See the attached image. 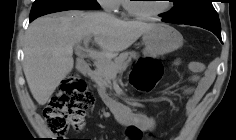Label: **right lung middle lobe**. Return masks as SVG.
<instances>
[{
  "label": "right lung middle lobe",
  "mask_w": 236,
  "mask_h": 140,
  "mask_svg": "<svg viewBox=\"0 0 236 140\" xmlns=\"http://www.w3.org/2000/svg\"><path fill=\"white\" fill-rule=\"evenodd\" d=\"M100 5L96 0H35L32 5L30 18L65 11V10H86L99 9Z\"/></svg>",
  "instance_id": "dd1d6c3e"
}]
</instances>
